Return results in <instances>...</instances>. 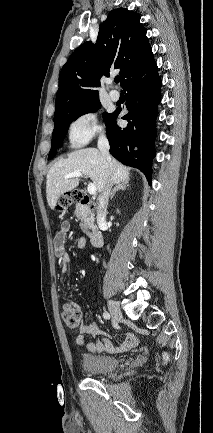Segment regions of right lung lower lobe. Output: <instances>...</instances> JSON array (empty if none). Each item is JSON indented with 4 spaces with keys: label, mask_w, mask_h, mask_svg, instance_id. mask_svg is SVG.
I'll list each match as a JSON object with an SVG mask.
<instances>
[{
    "label": "right lung lower lobe",
    "mask_w": 213,
    "mask_h": 433,
    "mask_svg": "<svg viewBox=\"0 0 213 433\" xmlns=\"http://www.w3.org/2000/svg\"><path fill=\"white\" fill-rule=\"evenodd\" d=\"M160 88L161 79L152 58L123 85L129 113L122 119L128 121L127 127L117 125L116 118L121 111L118 109L106 123L110 153L121 163L141 170L149 182L155 156V119L161 100Z\"/></svg>",
    "instance_id": "obj_1"
}]
</instances>
